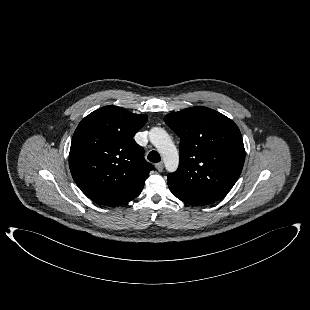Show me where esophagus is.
<instances>
[{
	"instance_id": "1",
	"label": "esophagus",
	"mask_w": 310,
	"mask_h": 310,
	"mask_svg": "<svg viewBox=\"0 0 310 310\" xmlns=\"http://www.w3.org/2000/svg\"><path fill=\"white\" fill-rule=\"evenodd\" d=\"M155 167H156V169H157L159 172H162V170H163V168H164V165H163L162 162H160V163H157V164L155 165Z\"/></svg>"
}]
</instances>
